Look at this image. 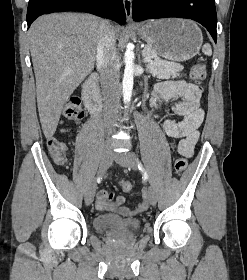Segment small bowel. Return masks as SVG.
<instances>
[{
    "label": "small bowel",
    "instance_id": "small-bowel-1",
    "mask_svg": "<svg viewBox=\"0 0 247 280\" xmlns=\"http://www.w3.org/2000/svg\"><path fill=\"white\" fill-rule=\"evenodd\" d=\"M200 97V87L192 83L186 81H166L155 87L151 101L152 106H155L158 99H182V101L176 104L175 111L183 119L180 122L166 120L163 123V129L167 136L180 139L178 150L185 157L192 156L195 144L199 139L198 128L204 118V112L199 107ZM62 131L70 132V129L65 128ZM124 201L122 196L115 197L106 190H100L96 198V208L100 211H119L123 215H131L141 213L148 207L146 191L142 192V200L133 210L125 207Z\"/></svg>",
    "mask_w": 247,
    "mask_h": 280
}]
</instances>
